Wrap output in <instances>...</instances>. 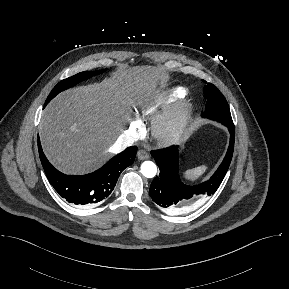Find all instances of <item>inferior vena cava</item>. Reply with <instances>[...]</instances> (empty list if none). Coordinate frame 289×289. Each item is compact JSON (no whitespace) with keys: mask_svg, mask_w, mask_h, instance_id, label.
<instances>
[{"mask_svg":"<svg viewBox=\"0 0 289 289\" xmlns=\"http://www.w3.org/2000/svg\"><path fill=\"white\" fill-rule=\"evenodd\" d=\"M133 143H134L133 137L126 133H123L118 137L116 142L113 144V146L111 147V151L113 153H117L125 149L126 147L132 146Z\"/></svg>","mask_w":289,"mask_h":289,"instance_id":"602c4592","label":"inferior vena cava"}]
</instances>
